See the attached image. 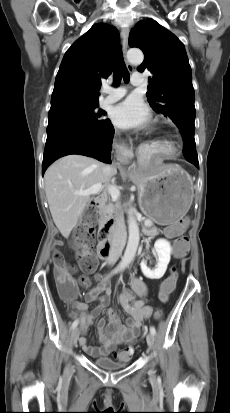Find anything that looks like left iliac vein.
Here are the masks:
<instances>
[{"label":"left iliac vein","instance_id":"obj_1","mask_svg":"<svg viewBox=\"0 0 230 413\" xmlns=\"http://www.w3.org/2000/svg\"><path fill=\"white\" fill-rule=\"evenodd\" d=\"M146 341H147L149 348L152 349L154 346V341H155L154 335L152 333H148L146 335ZM152 372H153V369H152Z\"/></svg>","mask_w":230,"mask_h":413}]
</instances>
